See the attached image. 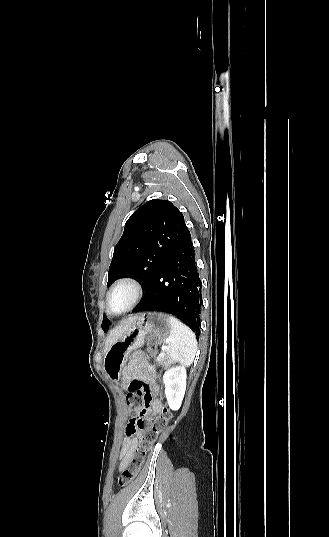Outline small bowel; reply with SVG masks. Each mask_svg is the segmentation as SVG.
Returning a JSON list of instances; mask_svg holds the SVG:
<instances>
[{"mask_svg": "<svg viewBox=\"0 0 329 537\" xmlns=\"http://www.w3.org/2000/svg\"><path fill=\"white\" fill-rule=\"evenodd\" d=\"M125 382L128 386L125 390L127 396L132 397L143 391L144 387L149 394L150 401L146 406L147 421H154L160 412L161 404L157 398L159 382L156 378L155 367L141 354L134 355L128 363L125 374ZM144 385V386H143ZM140 432L133 426L132 421L126 427L120 454L118 457V470L124 471L135 455Z\"/></svg>", "mask_w": 329, "mask_h": 537, "instance_id": "small-bowel-1", "label": "small bowel"}]
</instances>
